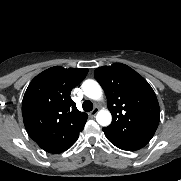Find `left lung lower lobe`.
I'll use <instances>...</instances> for the list:
<instances>
[{
	"mask_svg": "<svg viewBox=\"0 0 181 181\" xmlns=\"http://www.w3.org/2000/svg\"><path fill=\"white\" fill-rule=\"evenodd\" d=\"M108 140L116 147H118L122 150H126V151H136L145 146L144 144L132 143V142L120 143V142L111 140L109 138H108Z\"/></svg>",
	"mask_w": 181,
	"mask_h": 181,
	"instance_id": "1",
	"label": "left lung lower lobe"
}]
</instances>
